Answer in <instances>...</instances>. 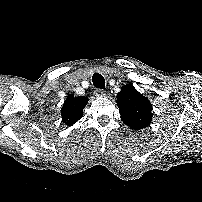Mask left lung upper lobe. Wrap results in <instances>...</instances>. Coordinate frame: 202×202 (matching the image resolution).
I'll return each mask as SVG.
<instances>
[{
    "instance_id": "left-lung-upper-lobe-1",
    "label": "left lung upper lobe",
    "mask_w": 202,
    "mask_h": 202,
    "mask_svg": "<svg viewBox=\"0 0 202 202\" xmlns=\"http://www.w3.org/2000/svg\"><path fill=\"white\" fill-rule=\"evenodd\" d=\"M117 105L122 121L138 130L147 127L152 119V105L132 84H127L117 94Z\"/></svg>"
}]
</instances>
